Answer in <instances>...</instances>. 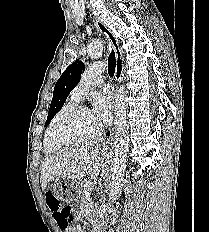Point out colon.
Instances as JSON below:
<instances>
[{
  "label": "colon",
  "instance_id": "obj_1",
  "mask_svg": "<svg viewBox=\"0 0 209 232\" xmlns=\"http://www.w3.org/2000/svg\"><path fill=\"white\" fill-rule=\"evenodd\" d=\"M44 198H47L48 206L50 207L56 226L62 228L68 227L71 221V210L69 207H62L59 202L53 197V193H44Z\"/></svg>",
  "mask_w": 209,
  "mask_h": 232
}]
</instances>
